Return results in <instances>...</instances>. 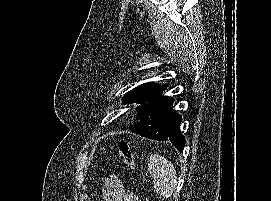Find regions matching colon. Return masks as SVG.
Wrapping results in <instances>:
<instances>
[{"mask_svg": "<svg viewBox=\"0 0 271 201\" xmlns=\"http://www.w3.org/2000/svg\"><path fill=\"white\" fill-rule=\"evenodd\" d=\"M118 153L125 164V166L129 170H134L135 168V157L132 151V148L129 143L127 142H121L118 144ZM131 201H137L135 197L132 198Z\"/></svg>", "mask_w": 271, "mask_h": 201, "instance_id": "obj_1", "label": "colon"}]
</instances>
